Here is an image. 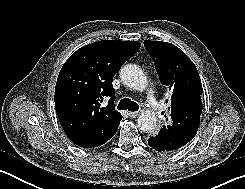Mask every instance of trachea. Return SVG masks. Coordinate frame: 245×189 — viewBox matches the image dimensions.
<instances>
[{"label": "trachea", "mask_w": 245, "mask_h": 189, "mask_svg": "<svg viewBox=\"0 0 245 189\" xmlns=\"http://www.w3.org/2000/svg\"><path fill=\"white\" fill-rule=\"evenodd\" d=\"M117 109L134 112V111H138L139 105L136 102L131 101V99L129 98H124L119 102Z\"/></svg>", "instance_id": "obj_1"}]
</instances>
